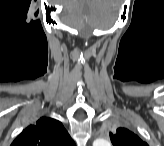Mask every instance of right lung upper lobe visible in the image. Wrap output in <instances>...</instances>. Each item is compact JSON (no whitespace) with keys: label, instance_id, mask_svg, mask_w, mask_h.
Listing matches in <instances>:
<instances>
[{"label":"right lung upper lobe","instance_id":"obj_1","mask_svg":"<svg viewBox=\"0 0 164 146\" xmlns=\"http://www.w3.org/2000/svg\"><path fill=\"white\" fill-rule=\"evenodd\" d=\"M74 141L58 120L42 117L28 126L11 146H73Z\"/></svg>","mask_w":164,"mask_h":146}]
</instances>
